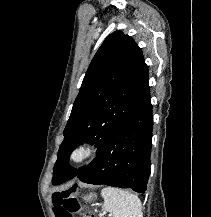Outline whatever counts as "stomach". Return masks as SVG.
Listing matches in <instances>:
<instances>
[{"label": "stomach", "instance_id": "1", "mask_svg": "<svg viewBox=\"0 0 211 217\" xmlns=\"http://www.w3.org/2000/svg\"><path fill=\"white\" fill-rule=\"evenodd\" d=\"M93 197H94V195L90 194V195H88V196L85 197V200L90 201V200L93 199Z\"/></svg>", "mask_w": 211, "mask_h": 217}]
</instances>
